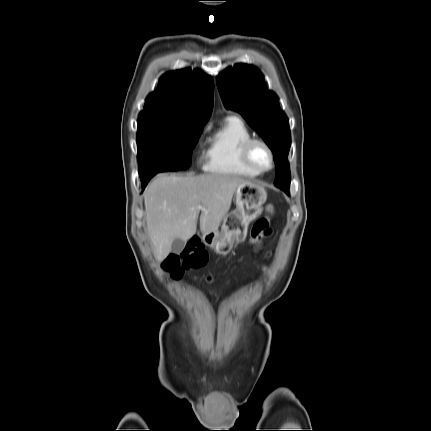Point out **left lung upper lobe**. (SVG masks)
Instances as JSON below:
<instances>
[{
    "mask_svg": "<svg viewBox=\"0 0 431 431\" xmlns=\"http://www.w3.org/2000/svg\"><path fill=\"white\" fill-rule=\"evenodd\" d=\"M216 81L225 107L241 113L272 150L277 170L274 185L289 192L290 129L278 97L267 89L263 75L252 65L229 67Z\"/></svg>",
    "mask_w": 431,
    "mask_h": 431,
    "instance_id": "obj_1",
    "label": "left lung upper lobe"
}]
</instances>
